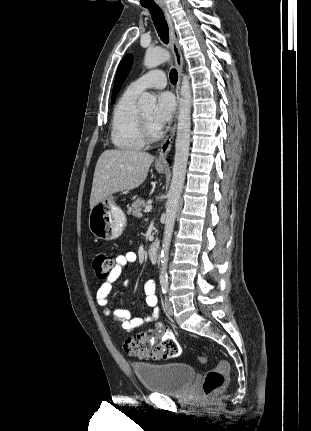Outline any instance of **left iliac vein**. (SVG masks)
<instances>
[{
    "instance_id": "1",
    "label": "left iliac vein",
    "mask_w": 311,
    "mask_h": 431,
    "mask_svg": "<svg viewBox=\"0 0 311 431\" xmlns=\"http://www.w3.org/2000/svg\"><path fill=\"white\" fill-rule=\"evenodd\" d=\"M165 310L168 315H173V312H174L173 305L167 297L165 298Z\"/></svg>"
}]
</instances>
